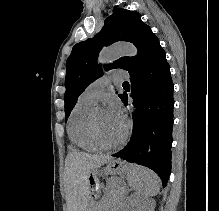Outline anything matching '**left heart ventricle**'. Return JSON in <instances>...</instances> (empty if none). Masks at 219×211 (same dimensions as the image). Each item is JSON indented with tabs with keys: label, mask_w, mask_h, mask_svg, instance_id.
I'll use <instances>...</instances> for the list:
<instances>
[{
	"label": "left heart ventricle",
	"mask_w": 219,
	"mask_h": 211,
	"mask_svg": "<svg viewBox=\"0 0 219 211\" xmlns=\"http://www.w3.org/2000/svg\"><path fill=\"white\" fill-rule=\"evenodd\" d=\"M97 126L101 134L110 141L117 140L125 129L113 121L106 108L98 111Z\"/></svg>",
	"instance_id": "obj_1"
}]
</instances>
